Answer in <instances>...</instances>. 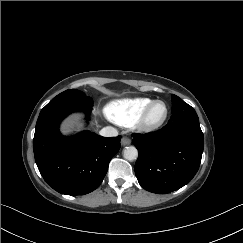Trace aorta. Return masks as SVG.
<instances>
[{
    "mask_svg": "<svg viewBox=\"0 0 243 243\" xmlns=\"http://www.w3.org/2000/svg\"><path fill=\"white\" fill-rule=\"evenodd\" d=\"M123 156L128 161H133L138 156V151L134 146L125 147L123 150Z\"/></svg>",
    "mask_w": 243,
    "mask_h": 243,
    "instance_id": "aorta-1",
    "label": "aorta"
}]
</instances>
